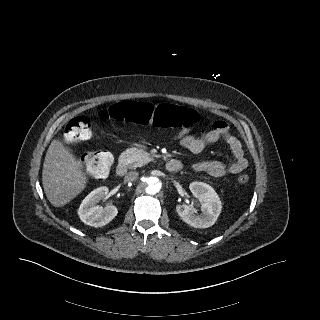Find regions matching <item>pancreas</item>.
I'll use <instances>...</instances> for the list:
<instances>
[{
	"instance_id": "1",
	"label": "pancreas",
	"mask_w": 320,
	"mask_h": 320,
	"mask_svg": "<svg viewBox=\"0 0 320 320\" xmlns=\"http://www.w3.org/2000/svg\"><path fill=\"white\" fill-rule=\"evenodd\" d=\"M148 154L142 149L129 148L122 152L119 157V163L125 165L129 169L142 167L149 162Z\"/></svg>"
}]
</instances>
